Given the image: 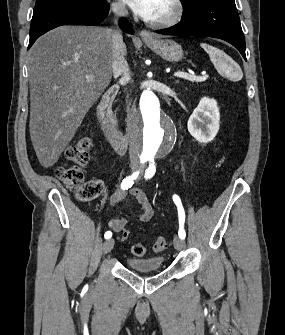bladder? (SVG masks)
Segmentation results:
<instances>
[{"label":"bladder","mask_w":285,"mask_h":335,"mask_svg":"<svg viewBox=\"0 0 285 335\" xmlns=\"http://www.w3.org/2000/svg\"><path fill=\"white\" fill-rule=\"evenodd\" d=\"M163 255L155 254L148 257H127V265H132V272H159Z\"/></svg>","instance_id":"31cf9c89"}]
</instances>
